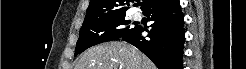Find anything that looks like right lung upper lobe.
<instances>
[{
    "mask_svg": "<svg viewBox=\"0 0 246 69\" xmlns=\"http://www.w3.org/2000/svg\"><path fill=\"white\" fill-rule=\"evenodd\" d=\"M162 0H143L141 9L144 11L150 6L161 2ZM131 0H90L87 8L85 20H100L113 15H124L129 9Z\"/></svg>",
    "mask_w": 246,
    "mask_h": 69,
    "instance_id": "cb5924a9",
    "label": "right lung upper lobe"
}]
</instances>
